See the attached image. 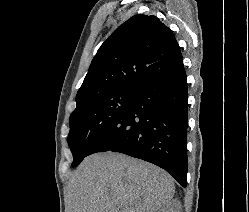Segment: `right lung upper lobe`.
Wrapping results in <instances>:
<instances>
[{
	"label": "right lung upper lobe",
	"instance_id": "cb5924a9",
	"mask_svg": "<svg viewBox=\"0 0 249 212\" xmlns=\"http://www.w3.org/2000/svg\"><path fill=\"white\" fill-rule=\"evenodd\" d=\"M182 62L172 31L155 16L135 15L99 48L76 95L77 106L106 93L138 92Z\"/></svg>",
	"mask_w": 249,
	"mask_h": 212
}]
</instances>
